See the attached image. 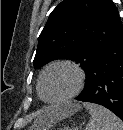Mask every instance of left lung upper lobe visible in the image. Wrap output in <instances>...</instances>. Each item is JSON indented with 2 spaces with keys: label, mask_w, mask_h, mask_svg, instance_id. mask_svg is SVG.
Returning a JSON list of instances; mask_svg holds the SVG:
<instances>
[{
  "label": "left lung upper lobe",
  "mask_w": 123,
  "mask_h": 130,
  "mask_svg": "<svg viewBox=\"0 0 123 130\" xmlns=\"http://www.w3.org/2000/svg\"><path fill=\"white\" fill-rule=\"evenodd\" d=\"M122 28L112 0H63L39 36L34 68L70 59L80 63L87 76L96 57Z\"/></svg>",
  "instance_id": "obj_1"
}]
</instances>
